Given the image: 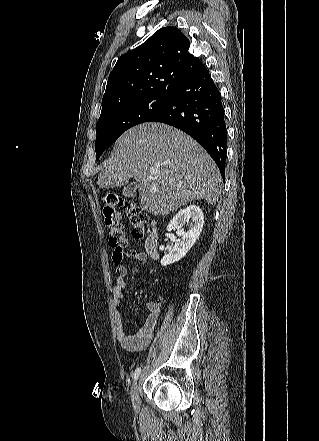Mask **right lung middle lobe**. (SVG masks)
Returning a JSON list of instances; mask_svg holds the SVG:
<instances>
[{
    "instance_id": "obj_1",
    "label": "right lung middle lobe",
    "mask_w": 319,
    "mask_h": 441,
    "mask_svg": "<svg viewBox=\"0 0 319 441\" xmlns=\"http://www.w3.org/2000/svg\"><path fill=\"white\" fill-rule=\"evenodd\" d=\"M170 97L149 96L115 104L101 111L96 124V159L129 128L146 122L162 111Z\"/></svg>"
}]
</instances>
